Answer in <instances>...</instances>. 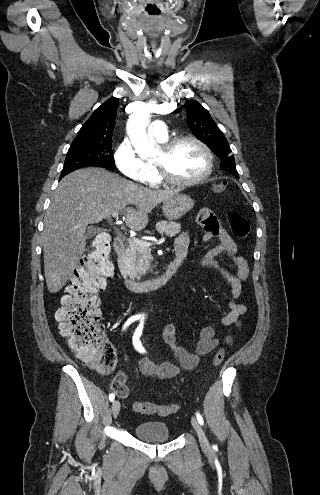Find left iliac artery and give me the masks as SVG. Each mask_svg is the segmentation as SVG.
Listing matches in <instances>:
<instances>
[{"mask_svg": "<svg viewBox=\"0 0 320 495\" xmlns=\"http://www.w3.org/2000/svg\"><path fill=\"white\" fill-rule=\"evenodd\" d=\"M142 331H143V324L141 323L133 335V345L137 351H139L140 353H145V349H144V347L140 341V336L142 334ZM196 416H197L198 422L201 425H203V417L201 416V414L199 412H197Z\"/></svg>", "mask_w": 320, "mask_h": 495, "instance_id": "1", "label": "left iliac artery"}]
</instances>
